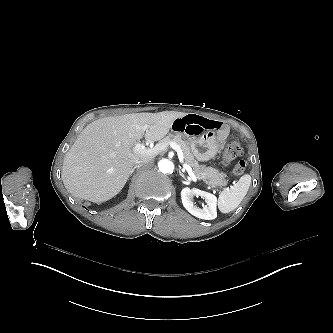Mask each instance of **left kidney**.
Wrapping results in <instances>:
<instances>
[{
  "mask_svg": "<svg viewBox=\"0 0 333 333\" xmlns=\"http://www.w3.org/2000/svg\"><path fill=\"white\" fill-rule=\"evenodd\" d=\"M193 195H198L203 198L206 205L203 208H199L193 204ZM182 203L185 209L193 216L204 219L213 220L217 217L216 202L217 199L214 195L195 188H184L181 191Z\"/></svg>",
  "mask_w": 333,
  "mask_h": 333,
  "instance_id": "1",
  "label": "left kidney"
}]
</instances>
